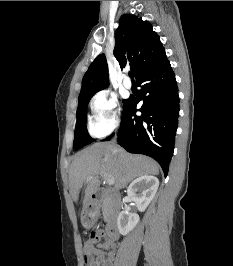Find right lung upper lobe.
<instances>
[{
  "mask_svg": "<svg viewBox=\"0 0 233 266\" xmlns=\"http://www.w3.org/2000/svg\"><path fill=\"white\" fill-rule=\"evenodd\" d=\"M152 25L135 15H122L115 32L114 56L121 67L130 65L136 79L149 67L165 56L160 37ZM108 66L104 54L99 55L90 65L82 80L79 99L91 96L109 85Z\"/></svg>",
  "mask_w": 233,
  "mask_h": 266,
  "instance_id": "cb5924a9",
  "label": "right lung upper lobe"
}]
</instances>
